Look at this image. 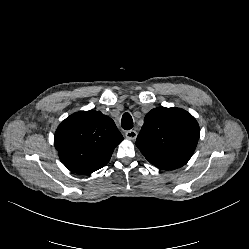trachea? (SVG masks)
<instances>
[{
    "label": "trachea",
    "mask_w": 249,
    "mask_h": 249,
    "mask_svg": "<svg viewBox=\"0 0 249 249\" xmlns=\"http://www.w3.org/2000/svg\"><path fill=\"white\" fill-rule=\"evenodd\" d=\"M122 128L129 130L133 127V120L131 115L128 112H125L121 120Z\"/></svg>",
    "instance_id": "1"
}]
</instances>
